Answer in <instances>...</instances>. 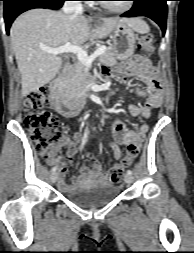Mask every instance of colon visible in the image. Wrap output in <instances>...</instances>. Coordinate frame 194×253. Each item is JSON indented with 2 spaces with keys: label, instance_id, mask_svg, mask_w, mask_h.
<instances>
[{
  "label": "colon",
  "instance_id": "1",
  "mask_svg": "<svg viewBox=\"0 0 194 253\" xmlns=\"http://www.w3.org/2000/svg\"><path fill=\"white\" fill-rule=\"evenodd\" d=\"M138 49L144 54L153 50V38L145 35L139 39ZM51 105L50 91L47 87L30 92L25 99V108L28 111L24 125L31 134L38 154L43 158H53L58 151V144L62 138L57 118L47 109ZM140 147L131 144L127 148L126 158L114 165L111 170L113 182H119L124 169L138 156Z\"/></svg>",
  "mask_w": 194,
  "mask_h": 253
}]
</instances>
